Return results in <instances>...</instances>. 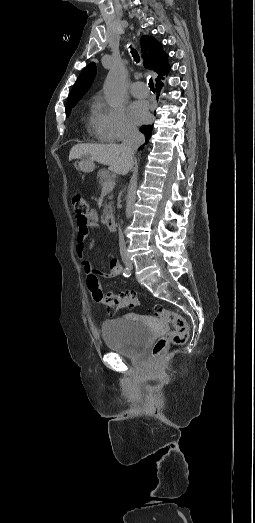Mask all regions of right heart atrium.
<instances>
[{
	"label": "right heart atrium",
	"instance_id": "obj_1",
	"mask_svg": "<svg viewBox=\"0 0 255 523\" xmlns=\"http://www.w3.org/2000/svg\"><path fill=\"white\" fill-rule=\"evenodd\" d=\"M109 125L113 137L117 140H125L137 134V126L128 116L124 104L111 106L107 110Z\"/></svg>",
	"mask_w": 255,
	"mask_h": 523
}]
</instances>
